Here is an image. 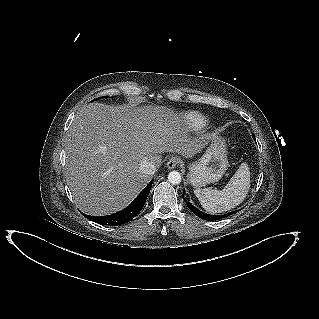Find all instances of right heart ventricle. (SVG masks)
<instances>
[{
	"label": "right heart ventricle",
	"instance_id": "e07e8e85",
	"mask_svg": "<svg viewBox=\"0 0 319 319\" xmlns=\"http://www.w3.org/2000/svg\"><path fill=\"white\" fill-rule=\"evenodd\" d=\"M183 119L189 128L198 130L207 124V118L198 112H187L183 115Z\"/></svg>",
	"mask_w": 319,
	"mask_h": 319
}]
</instances>
